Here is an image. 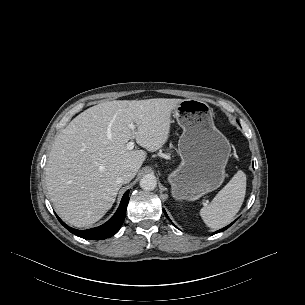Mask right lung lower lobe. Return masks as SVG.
Returning a JSON list of instances; mask_svg holds the SVG:
<instances>
[{"mask_svg": "<svg viewBox=\"0 0 305 305\" xmlns=\"http://www.w3.org/2000/svg\"><path fill=\"white\" fill-rule=\"evenodd\" d=\"M128 202L129 190L126 191V193L123 195L118 210L109 221L99 227L88 230H76L74 228L68 227L57 215L56 216L65 228H67L70 232L79 237L91 240L106 239L117 233L119 228L121 227L125 219Z\"/></svg>", "mask_w": 305, "mask_h": 305, "instance_id": "right-lung-lower-lobe-1", "label": "right lung lower lobe"}]
</instances>
